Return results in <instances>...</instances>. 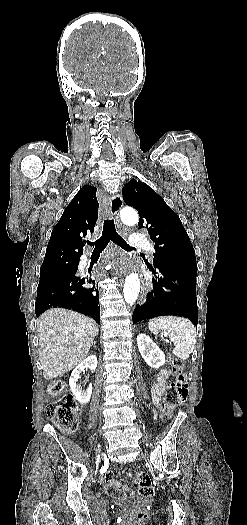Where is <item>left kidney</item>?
I'll return each mask as SVG.
<instances>
[{
    "instance_id": "obj_1",
    "label": "left kidney",
    "mask_w": 247,
    "mask_h": 525,
    "mask_svg": "<svg viewBox=\"0 0 247 525\" xmlns=\"http://www.w3.org/2000/svg\"><path fill=\"white\" fill-rule=\"evenodd\" d=\"M137 347L142 359H144L145 363H147L149 367H153V369H159V367L164 365L165 355L163 351L157 347L156 343H153L152 339H150L148 335L139 333L137 337Z\"/></svg>"
}]
</instances>
